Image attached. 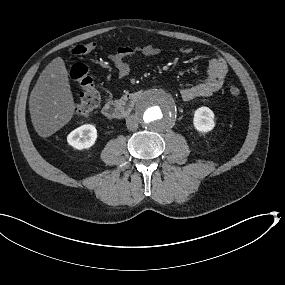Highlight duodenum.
Instances as JSON below:
<instances>
[{"instance_id": "410a0bca", "label": "duodenum", "mask_w": 285, "mask_h": 285, "mask_svg": "<svg viewBox=\"0 0 285 285\" xmlns=\"http://www.w3.org/2000/svg\"><path fill=\"white\" fill-rule=\"evenodd\" d=\"M140 95L141 93L139 91L133 92L124 95L120 99L106 102L102 108L103 115L110 119H123L128 117L133 111Z\"/></svg>"}]
</instances>
